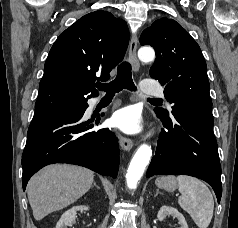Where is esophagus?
Instances as JSON below:
<instances>
[{"mask_svg": "<svg viewBox=\"0 0 238 228\" xmlns=\"http://www.w3.org/2000/svg\"><path fill=\"white\" fill-rule=\"evenodd\" d=\"M137 42H138L137 36L134 35L131 38V41L129 44V49H128L129 61L132 65V68L134 71H138L139 67H140V64H139V61H138L137 55H136ZM119 142H120L122 149H124L125 151H129L133 147V141L127 137L122 136V135L119 136Z\"/></svg>", "mask_w": 238, "mask_h": 228, "instance_id": "obj_1", "label": "esophagus"}]
</instances>
